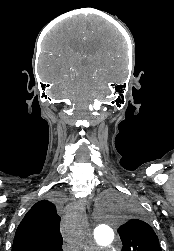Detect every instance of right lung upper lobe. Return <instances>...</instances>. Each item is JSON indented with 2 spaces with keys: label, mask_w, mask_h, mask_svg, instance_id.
<instances>
[{
  "label": "right lung upper lobe",
  "mask_w": 174,
  "mask_h": 251,
  "mask_svg": "<svg viewBox=\"0 0 174 251\" xmlns=\"http://www.w3.org/2000/svg\"><path fill=\"white\" fill-rule=\"evenodd\" d=\"M59 211L48 200L34 204L16 230L12 251H62Z\"/></svg>",
  "instance_id": "obj_1"
}]
</instances>
